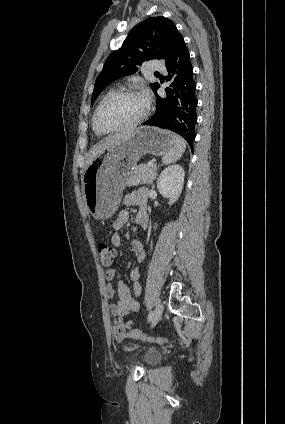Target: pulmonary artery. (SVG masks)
Returning <instances> with one entry per match:
<instances>
[{"mask_svg": "<svg viewBox=\"0 0 285 424\" xmlns=\"http://www.w3.org/2000/svg\"><path fill=\"white\" fill-rule=\"evenodd\" d=\"M150 70L157 71V72H164L166 70V67L163 63L159 61H150L149 63Z\"/></svg>", "mask_w": 285, "mask_h": 424, "instance_id": "1", "label": "pulmonary artery"}]
</instances>
